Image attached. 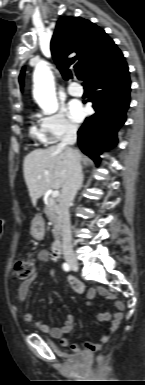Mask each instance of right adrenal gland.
<instances>
[{
	"instance_id": "1",
	"label": "right adrenal gland",
	"mask_w": 145,
	"mask_h": 385,
	"mask_svg": "<svg viewBox=\"0 0 145 385\" xmlns=\"http://www.w3.org/2000/svg\"><path fill=\"white\" fill-rule=\"evenodd\" d=\"M83 181H84V175H82L80 185H79V190L83 187Z\"/></svg>"
}]
</instances>
